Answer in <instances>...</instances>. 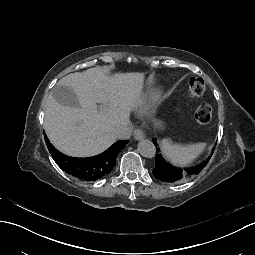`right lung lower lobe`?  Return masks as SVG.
I'll list each match as a JSON object with an SVG mask.
<instances>
[{"mask_svg": "<svg viewBox=\"0 0 255 255\" xmlns=\"http://www.w3.org/2000/svg\"><path fill=\"white\" fill-rule=\"evenodd\" d=\"M83 179L85 181H92L94 179V166L92 164H85L83 166Z\"/></svg>", "mask_w": 255, "mask_h": 255, "instance_id": "1", "label": "right lung lower lobe"}]
</instances>
